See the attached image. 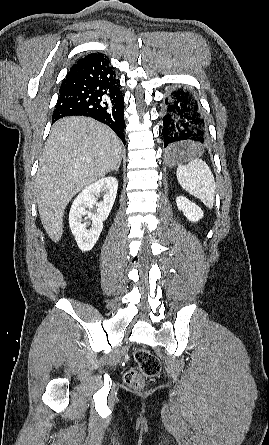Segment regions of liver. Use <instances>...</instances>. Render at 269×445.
<instances>
[{"label": "liver", "instance_id": "6515ba94", "mask_svg": "<svg viewBox=\"0 0 269 445\" xmlns=\"http://www.w3.org/2000/svg\"><path fill=\"white\" fill-rule=\"evenodd\" d=\"M121 141L106 125L87 117H66L51 129L35 179L42 225L53 242L61 239L69 201L121 163Z\"/></svg>", "mask_w": 269, "mask_h": 445}]
</instances>
